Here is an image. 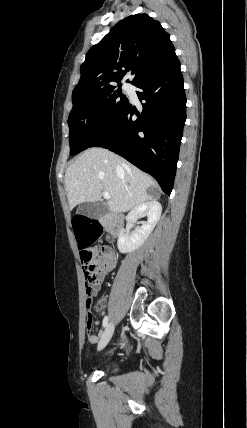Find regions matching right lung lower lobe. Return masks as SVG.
I'll list each match as a JSON object with an SVG mask.
<instances>
[{
	"instance_id": "right-lung-lower-lobe-1",
	"label": "right lung lower lobe",
	"mask_w": 247,
	"mask_h": 428,
	"mask_svg": "<svg viewBox=\"0 0 247 428\" xmlns=\"http://www.w3.org/2000/svg\"><path fill=\"white\" fill-rule=\"evenodd\" d=\"M180 62L175 56L135 86L143 112L129 103L90 147L107 148L152 175L170 195L186 120V96ZM137 115L133 120L132 116Z\"/></svg>"
}]
</instances>
